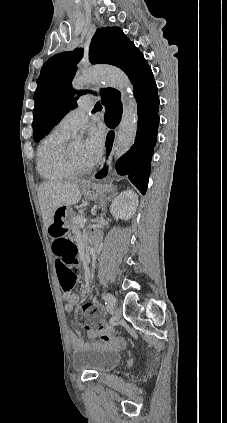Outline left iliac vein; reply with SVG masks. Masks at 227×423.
Listing matches in <instances>:
<instances>
[{
    "label": "left iliac vein",
    "instance_id": "4c4485c4",
    "mask_svg": "<svg viewBox=\"0 0 227 423\" xmlns=\"http://www.w3.org/2000/svg\"><path fill=\"white\" fill-rule=\"evenodd\" d=\"M113 310L112 317L114 321H117L121 317V311L115 306V303L110 306Z\"/></svg>",
    "mask_w": 227,
    "mask_h": 423
}]
</instances>
